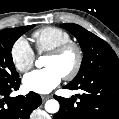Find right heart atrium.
Here are the masks:
<instances>
[{
	"instance_id": "1",
	"label": "right heart atrium",
	"mask_w": 119,
	"mask_h": 119,
	"mask_svg": "<svg viewBox=\"0 0 119 119\" xmlns=\"http://www.w3.org/2000/svg\"><path fill=\"white\" fill-rule=\"evenodd\" d=\"M11 60L17 71H29L35 62V53L25 37L18 38L10 51Z\"/></svg>"
}]
</instances>
